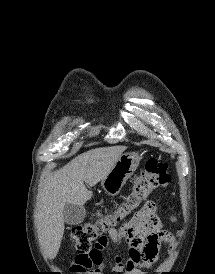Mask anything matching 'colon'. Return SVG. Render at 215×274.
Returning a JSON list of instances; mask_svg holds the SVG:
<instances>
[{
    "label": "colon",
    "instance_id": "1",
    "mask_svg": "<svg viewBox=\"0 0 215 274\" xmlns=\"http://www.w3.org/2000/svg\"><path fill=\"white\" fill-rule=\"evenodd\" d=\"M170 183V175L166 163L151 158L144 169L136 176L132 188L123 200L112 210L98 213L97 217L72 229L71 238L80 254L89 253L102 238V234L132 214H137L142 203L157 188H166ZM163 236L171 240L169 233Z\"/></svg>",
    "mask_w": 215,
    "mask_h": 274
}]
</instances>
